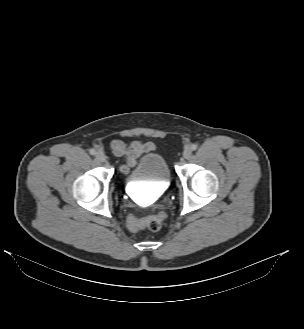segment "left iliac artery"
<instances>
[{
    "label": "left iliac artery",
    "instance_id": "left-iliac-artery-1",
    "mask_svg": "<svg viewBox=\"0 0 304 329\" xmlns=\"http://www.w3.org/2000/svg\"><path fill=\"white\" fill-rule=\"evenodd\" d=\"M197 148H198V146L196 144L191 145V150L195 151Z\"/></svg>",
    "mask_w": 304,
    "mask_h": 329
}]
</instances>
